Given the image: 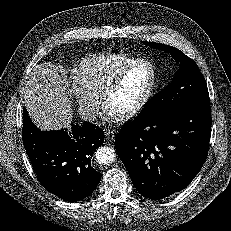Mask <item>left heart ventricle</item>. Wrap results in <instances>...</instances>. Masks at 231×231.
<instances>
[{
  "label": "left heart ventricle",
  "instance_id": "left-heart-ventricle-1",
  "mask_svg": "<svg viewBox=\"0 0 231 231\" xmlns=\"http://www.w3.org/2000/svg\"><path fill=\"white\" fill-rule=\"evenodd\" d=\"M152 77L148 65L134 68L125 78L122 85L108 98L106 111L118 114L134 106L147 90Z\"/></svg>",
  "mask_w": 231,
  "mask_h": 231
}]
</instances>
